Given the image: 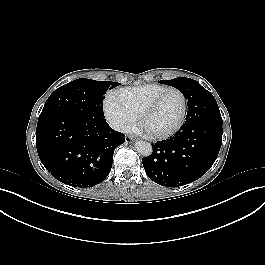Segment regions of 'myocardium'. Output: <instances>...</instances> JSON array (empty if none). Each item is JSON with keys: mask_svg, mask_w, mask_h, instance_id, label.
Returning a JSON list of instances; mask_svg holds the SVG:
<instances>
[{"mask_svg": "<svg viewBox=\"0 0 265 265\" xmlns=\"http://www.w3.org/2000/svg\"><path fill=\"white\" fill-rule=\"evenodd\" d=\"M171 91H175V92L179 93V95L181 96V99H182V113H181L179 121L177 122V124L171 130H169L167 132H164V133H151V132H148L147 130L144 129V120H145V118L157 106V104L159 103L161 98L165 94H167L168 92H171ZM187 110H188L187 98H186L185 94L183 93V91H181L179 88L172 87V86L171 87H166L163 91L158 93L148 103V105L143 109V111L141 112V114L139 116V125L142 128V130L145 132V135L149 139L165 140V139L173 136L174 134H176L181 129V127L183 126V124L185 122L186 116H187Z\"/></svg>", "mask_w": 265, "mask_h": 265, "instance_id": "1", "label": "myocardium"}]
</instances>
